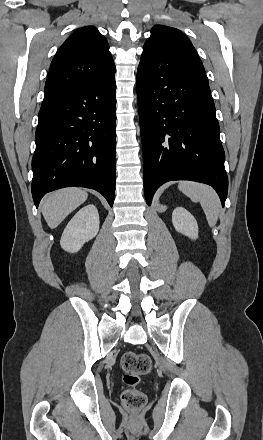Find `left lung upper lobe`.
<instances>
[{
  "instance_id": "left-lung-upper-lobe-1",
  "label": "left lung upper lobe",
  "mask_w": 263,
  "mask_h": 440,
  "mask_svg": "<svg viewBox=\"0 0 263 440\" xmlns=\"http://www.w3.org/2000/svg\"><path fill=\"white\" fill-rule=\"evenodd\" d=\"M168 59L208 82L203 64L186 35L176 28L156 25L144 44L140 63L158 66Z\"/></svg>"
}]
</instances>
